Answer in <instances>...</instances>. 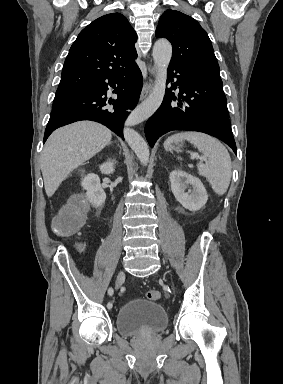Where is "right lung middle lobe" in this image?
Wrapping results in <instances>:
<instances>
[{"mask_svg": "<svg viewBox=\"0 0 283 384\" xmlns=\"http://www.w3.org/2000/svg\"><path fill=\"white\" fill-rule=\"evenodd\" d=\"M85 90L86 89L57 91L53 102V109L75 101Z\"/></svg>", "mask_w": 283, "mask_h": 384, "instance_id": "right-lung-middle-lobe-1", "label": "right lung middle lobe"}]
</instances>
